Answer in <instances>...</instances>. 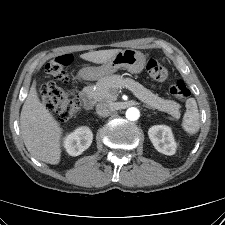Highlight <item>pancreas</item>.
<instances>
[{
  "mask_svg": "<svg viewBox=\"0 0 225 225\" xmlns=\"http://www.w3.org/2000/svg\"><path fill=\"white\" fill-rule=\"evenodd\" d=\"M129 89L139 100L149 107L166 112L176 119L180 118V105L172 100H165L153 94L140 83L131 78H124L120 75H110L97 81L95 86L84 88L88 97L95 100H116L120 89Z\"/></svg>",
  "mask_w": 225,
  "mask_h": 225,
  "instance_id": "cf45deb5",
  "label": "pancreas"
}]
</instances>
